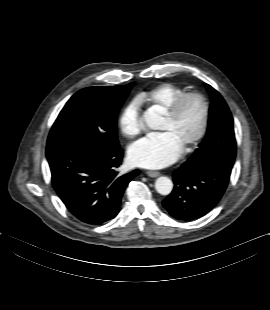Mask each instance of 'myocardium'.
I'll return each instance as SVG.
<instances>
[{
	"label": "myocardium",
	"instance_id": "1",
	"mask_svg": "<svg viewBox=\"0 0 270 310\" xmlns=\"http://www.w3.org/2000/svg\"><path fill=\"white\" fill-rule=\"evenodd\" d=\"M189 99H196L202 108V121L198 132L191 138L186 146L182 148V151L187 153L192 151L205 136L210 120V106L206 97L197 91L184 92L179 95L164 112L165 117L169 121H174L181 113L184 104Z\"/></svg>",
	"mask_w": 270,
	"mask_h": 310
}]
</instances>
